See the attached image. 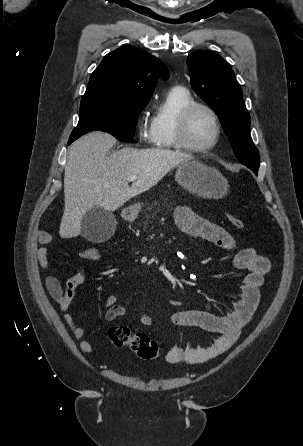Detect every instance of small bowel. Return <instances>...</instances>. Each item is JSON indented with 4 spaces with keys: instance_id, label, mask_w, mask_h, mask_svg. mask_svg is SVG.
Returning a JSON list of instances; mask_svg holds the SVG:
<instances>
[{
    "instance_id": "small-bowel-1",
    "label": "small bowel",
    "mask_w": 303,
    "mask_h": 446,
    "mask_svg": "<svg viewBox=\"0 0 303 446\" xmlns=\"http://www.w3.org/2000/svg\"><path fill=\"white\" fill-rule=\"evenodd\" d=\"M175 223L184 234L195 238H201L215 245L234 252L232 265L247 272L245 276L242 294L236 302L234 310L226 315H215L201 310L179 311L172 315V321L178 326L201 329L214 333L207 347L185 348L172 347L165 358L171 363L201 364L227 351L238 339L242 329L249 323L260 300V287L264 276L269 272V260L259 255L253 248H238L234 238L221 226L201 216L196 215L188 207H178L175 211ZM52 241L49 233L41 232L38 237L40 246L36 251V259L44 271L49 270L48 248ZM87 279V274L82 268H78L76 274L68 279L63 286L60 280L52 275H47L45 284L51 297L59 304L60 311L66 325L71 330L74 338L80 340L79 347L82 352L91 353L96 347L87 339H84L85 330L77 325L69 307L74 299L76 289ZM116 295H110L105 302L107 321H114L125 315V308L118 303ZM152 316L149 312L140 315V323L144 326L152 324Z\"/></svg>"
}]
</instances>
